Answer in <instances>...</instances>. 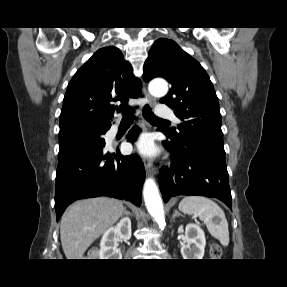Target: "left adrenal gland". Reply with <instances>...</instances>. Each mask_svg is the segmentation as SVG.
<instances>
[{"label": "left adrenal gland", "mask_w": 287, "mask_h": 287, "mask_svg": "<svg viewBox=\"0 0 287 287\" xmlns=\"http://www.w3.org/2000/svg\"><path fill=\"white\" fill-rule=\"evenodd\" d=\"M181 214L178 212L177 209H175L173 215H172V218H175L176 216H180Z\"/></svg>", "instance_id": "left-adrenal-gland-1"}]
</instances>
